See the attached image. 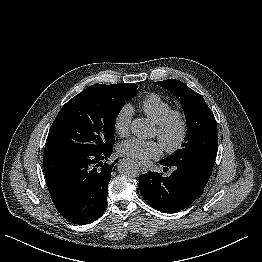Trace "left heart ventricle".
<instances>
[{"instance_id":"obj_1","label":"left heart ventricle","mask_w":262,"mask_h":262,"mask_svg":"<svg viewBox=\"0 0 262 262\" xmlns=\"http://www.w3.org/2000/svg\"><path fill=\"white\" fill-rule=\"evenodd\" d=\"M178 133V126L174 125L173 128L171 129V133H170V138L174 139L176 137ZM158 134L157 129H156V135Z\"/></svg>"}]
</instances>
